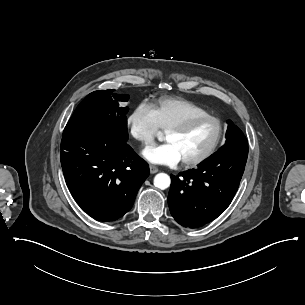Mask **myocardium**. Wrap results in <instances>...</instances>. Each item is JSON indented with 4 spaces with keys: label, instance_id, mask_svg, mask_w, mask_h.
<instances>
[{
    "label": "myocardium",
    "instance_id": "1",
    "mask_svg": "<svg viewBox=\"0 0 305 305\" xmlns=\"http://www.w3.org/2000/svg\"><path fill=\"white\" fill-rule=\"evenodd\" d=\"M207 120H215L219 123L218 137H217L215 143L199 157L190 159V160H182V162L186 168H193V167H196V166H199V165L205 163L219 150V148L221 147V145L224 141L225 135H226V131H227L226 123L219 116L212 114V113H207L205 115L193 116V117L184 119L182 121L176 122V123L170 125L166 130V132L185 131V130L189 129L191 126H193L197 123L207 121Z\"/></svg>",
    "mask_w": 305,
    "mask_h": 305
}]
</instances>
